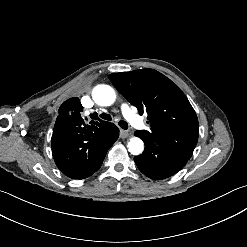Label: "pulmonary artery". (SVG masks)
I'll return each instance as SVG.
<instances>
[{"instance_id":"e3ab8cb5","label":"pulmonary artery","mask_w":247,"mask_h":247,"mask_svg":"<svg viewBox=\"0 0 247 247\" xmlns=\"http://www.w3.org/2000/svg\"><path fill=\"white\" fill-rule=\"evenodd\" d=\"M121 112H122V115L130 121V123L134 126H143L141 124V121L144 122L145 120L144 119H138L137 116L134 114V112L132 111L130 105L126 102H123L121 104ZM87 117L89 118V113H87Z\"/></svg>"}]
</instances>
